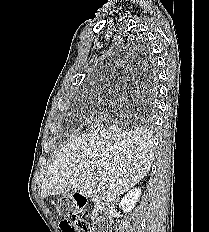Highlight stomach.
<instances>
[{"mask_svg":"<svg viewBox=\"0 0 209 232\" xmlns=\"http://www.w3.org/2000/svg\"><path fill=\"white\" fill-rule=\"evenodd\" d=\"M76 198H59L56 202L58 214H62L63 218H74L78 214Z\"/></svg>","mask_w":209,"mask_h":232,"instance_id":"obj_1","label":"stomach"}]
</instances>
